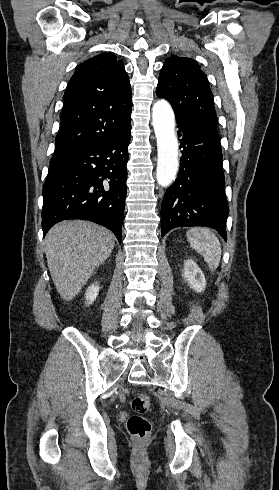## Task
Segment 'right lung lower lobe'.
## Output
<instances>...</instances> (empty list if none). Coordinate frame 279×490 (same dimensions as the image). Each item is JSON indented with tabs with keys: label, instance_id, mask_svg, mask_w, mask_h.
<instances>
[{
	"label": "right lung lower lobe",
	"instance_id": "right-lung-lower-lobe-1",
	"mask_svg": "<svg viewBox=\"0 0 279 490\" xmlns=\"http://www.w3.org/2000/svg\"><path fill=\"white\" fill-rule=\"evenodd\" d=\"M131 126L103 142L50 163L43 185V236L57 222L90 220L121 243Z\"/></svg>",
	"mask_w": 279,
	"mask_h": 490
}]
</instances>
